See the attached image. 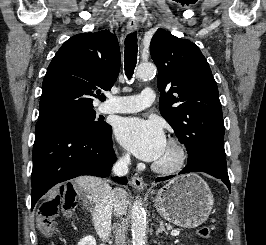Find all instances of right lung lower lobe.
Returning a JSON list of instances; mask_svg holds the SVG:
<instances>
[{"label": "right lung lower lobe", "instance_id": "right-lung-lower-lobe-1", "mask_svg": "<svg viewBox=\"0 0 266 245\" xmlns=\"http://www.w3.org/2000/svg\"><path fill=\"white\" fill-rule=\"evenodd\" d=\"M115 161L110 125L101 134L70 124H58L35 134L31 208L57 183L79 175L106 177ZM115 181L127 183L126 178Z\"/></svg>", "mask_w": 266, "mask_h": 245}]
</instances>
